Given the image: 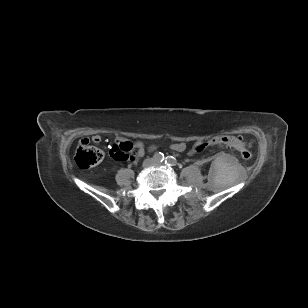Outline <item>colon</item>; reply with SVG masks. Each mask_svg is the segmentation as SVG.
<instances>
[{
  "mask_svg": "<svg viewBox=\"0 0 308 308\" xmlns=\"http://www.w3.org/2000/svg\"><path fill=\"white\" fill-rule=\"evenodd\" d=\"M223 145L229 149L236 150L240 153L241 157L245 160H249L252 157L251 152L246 147V144L242 139L235 136H217L213 137L206 142H203L197 147V152L202 151L208 146ZM111 155L115 161L122 162L133 158L132 148L129 143L119 142L111 150ZM103 152L90 145V141L87 139L80 140L76 153V164L82 169L92 168L98 165L103 160Z\"/></svg>",
  "mask_w": 308,
  "mask_h": 308,
  "instance_id": "5ec220e1",
  "label": "colon"
}]
</instances>
